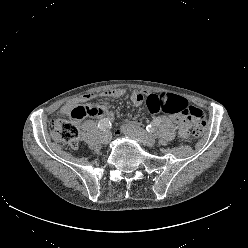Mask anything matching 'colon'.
Returning <instances> with one entry per match:
<instances>
[{"label":"colon","mask_w":248,"mask_h":248,"mask_svg":"<svg viewBox=\"0 0 248 248\" xmlns=\"http://www.w3.org/2000/svg\"><path fill=\"white\" fill-rule=\"evenodd\" d=\"M146 106L150 113L164 112L172 115H187L194 122L192 136L199 138L203 135L206 121L204 112L195 106L188 104L187 100L176 95L162 93L152 94L147 97ZM90 109L87 105H78L70 113L73 120L79 121L88 115ZM51 137L59 144L76 148L79 144L80 133L75 122L56 119L49 124Z\"/></svg>","instance_id":"colon-1"}]
</instances>
